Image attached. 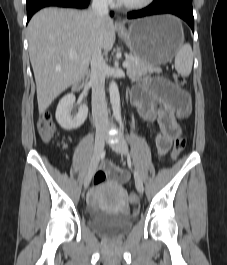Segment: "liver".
Masks as SVG:
<instances>
[{"mask_svg":"<svg viewBox=\"0 0 227 265\" xmlns=\"http://www.w3.org/2000/svg\"><path fill=\"white\" fill-rule=\"evenodd\" d=\"M27 30L40 114L86 75L94 50L110 51L116 37L113 21L97 19L92 10L45 8L31 18Z\"/></svg>","mask_w":227,"mask_h":265,"instance_id":"liver-1","label":"liver"}]
</instances>
